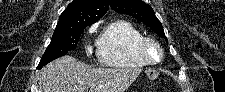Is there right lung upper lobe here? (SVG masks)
<instances>
[{
    "mask_svg": "<svg viewBox=\"0 0 225 92\" xmlns=\"http://www.w3.org/2000/svg\"><path fill=\"white\" fill-rule=\"evenodd\" d=\"M109 9V0H74L62 12L56 28L93 24Z\"/></svg>",
    "mask_w": 225,
    "mask_h": 92,
    "instance_id": "obj_1",
    "label": "right lung upper lobe"
}]
</instances>
